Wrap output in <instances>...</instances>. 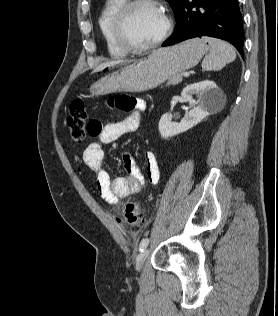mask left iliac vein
Wrapping results in <instances>:
<instances>
[{
  "mask_svg": "<svg viewBox=\"0 0 278 316\" xmlns=\"http://www.w3.org/2000/svg\"><path fill=\"white\" fill-rule=\"evenodd\" d=\"M148 255H149V249H144V251L138 255L137 260H136V268L138 270L141 269Z\"/></svg>",
  "mask_w": 278,
  "mask_h": 316,
  "instance_id": "4c4485c4",
  "label": "left iliac vein"
}]
</instances>
